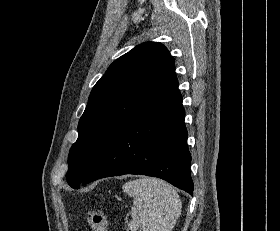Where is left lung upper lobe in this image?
Wrapping results in <instances>:
<instances>
[{"mask_svg":"<svg viewBox=\"0 0 280 231\" xmlns=\"http://www.w3.org/2000/svg\"><path fill=\"white\" fill-rule=\"evenodd\" d=\"M177 87L174 60L158 42L142 43L115 60L93 87L79 120L68 184L79 189L110 143Z\"/></svg>","mask_w":280,"mask_h":231,"instance_id":"1","label":"left lung upper lobe"}]
</instances>
